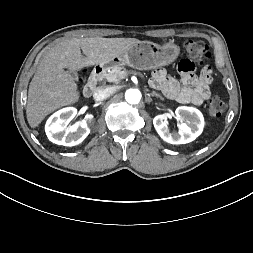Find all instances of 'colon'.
Returning <instances> with one entry per match:
<instances>
[{
  "instance_id": "5ec220e1",
  "label": "colon",
  "mask_w": 253,
  "mask_h": 253,
  "mask_svg": "<svg viewBox=\"0 0 253 253\" xmlns=\"http://www.w3.org/2000/svg\"><path fill=\"white\" fill-rule=\"evenodd\" d=\"M185 58L198 61V65H204L211 59L212 53L209 46L201 40H188L184 44ZM86 71H82L81 79H84ZM209 113L214 117H219L225 111V103L219 97H213L208 105Z\"/></svg>"
}]
</instances>
